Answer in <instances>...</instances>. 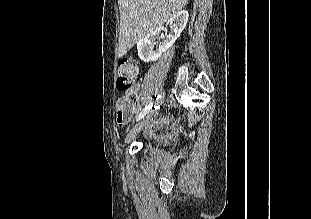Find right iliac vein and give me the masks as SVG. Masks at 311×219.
I'll list each match as a JSON object with an SVG mask.
<instances>
[{
    "label": "right iliac vein",
    "mask_w": 311,
    "mask_h": 219,
    "mask_svg": "<svg viewBox=\"0 0 311 219\" xmlns=\"http://www.w3.org/2000/svg\"><path fill=\"white\" fill-rule=\"evenodd\" d=\"M164 101V93L161 94L160 100L156 102L157 105H161ZM156 115V111L152 110L150 114H148L141 122H139L137 125H135L130 132L127 134L125 143L128 144L131 142L135 136L148 125V123L153 119V117Z\"/></svg>",
    "instance_id": "right-iliac-vein-1"
}]
</instances>
